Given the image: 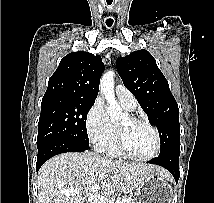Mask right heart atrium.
Returning <instances> with one entry per match:
<instances>
[{
    "label": "right heart atrium",
    "mask_w": 214,
    "mask_h": 203,
    "mask_svg": "<svg viewBox=\"0 0 214 203\" xmlns=\"http://www.w3.org/2000/svg\"><path fill=\"white\" fill-rule=\"evenodd\" d=\"M85 129L89 140L98 147L108 141L115 131V125L99 98L94 101L86 114Z\"/></svg>",
    "instance_id": "right-heart-atrium-1"
}]
</instances>
